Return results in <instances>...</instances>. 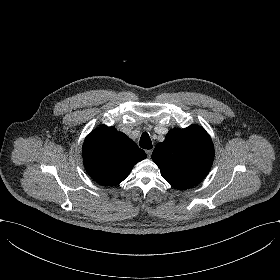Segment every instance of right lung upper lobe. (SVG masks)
<instances>
[{
	"instance_id": "cb5924a9",
	"label": "right lung upper lobe",
	"mask_w": 280,
	"mask_h": 280,
	"mask_svg": "<svg viewBox=\"0 0 280 280\" xmlns=\"http://www.w3.org/2000/svg\"><path fill=\"white\" fill-rule=\"evenodd\" d=\"M83 160L88 174L98 183L115 186L122 182L146 153L114 127L101 126L83 144Z\"/></svg>"
}]
</instances>
